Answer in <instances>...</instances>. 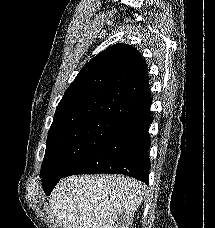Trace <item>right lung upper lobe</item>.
<instances>
[{"label":"right lung upper lobe","instance_id":"1","mask_svg":"<svg viewBox=\"0 0 215 228\" xmlns=\"http://www.w3.org/2000/svg\"><path fill=\"white\" fill-rule=\"evenodd\" d=\"M147 66L127 44L113 45L81 69L59 102L49 133L94 118L128 123L151 114Z\"/></svg>","mask_w":215,"mask_h":228}]
</instances>
